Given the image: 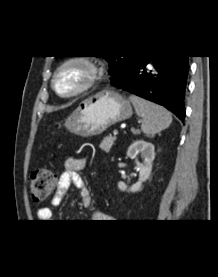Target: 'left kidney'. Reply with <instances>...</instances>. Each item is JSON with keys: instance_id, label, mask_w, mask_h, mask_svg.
Masks as SVG:
<instances>
[{"instance_id": "left-kidney-1", "label": "left kidney", "mask_w": 218, "mask_h": 277, "mask_svg": "<svg viewBox=\"0 0 218 277\" xmlns=\"http://www.w3.org/2000/svg\"><path fill=\"white\" fill-rule=\"evenodd\" d=\"M154 149L152 143L144 140H137L129 146L126 154L131 159H135L136 168L139 170V180L129 188L124 182H118V188L121 191L134 193L141 189L142 183L145 182L151 174L152 163L155 158ZM139 153L141 154L142 162L136 159Z\"/></svg>"}]
</instances>
